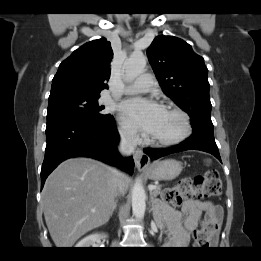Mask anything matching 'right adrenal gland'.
<instances>
[{
	"instance_id": "obj_1",
	"label": "right adrenal gland",
	"mask_w": 261,
	"mask_h": 261,
	"mask_svg": "<svg viewBox=\"0 0 261 261\" xmlns=\"http://www.w3.org/2000/svg\"><path fill=\"white\" fill-rule=\"evenodd\" d=\"M117 203H118V199H116V200L114 201V204H113V207H112L110 216H112L113 213H114V211L116 210V208H117Z\"/></svg>"
}]
</instances>
